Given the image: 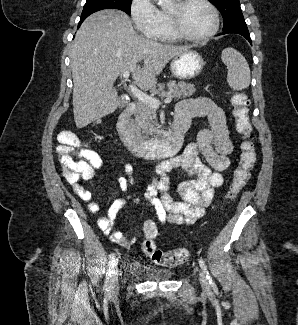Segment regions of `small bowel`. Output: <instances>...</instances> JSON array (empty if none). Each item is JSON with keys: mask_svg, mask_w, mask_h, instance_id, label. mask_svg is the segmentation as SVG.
Returning <instances> with one entry per match:
<instances>
[{"mask_svg": "<svg viewBox=\"0 0 298 325\" xmlns=\"http://www.w3.org/2000/svg\"><path fill=\"white\" fill-rule=\"evenodd\" d=\"M182 103L195 105L200 111L199 115L208 118L210 128L201 130L197 140L190 143L182 153L158 166L159 178L149 185L143 198L155 210L161 225L190 224L204 215L215 190L225 182L223 173L230 166L229 156L233 151L226 116L219 106L206 98L190 99ZM175 168L183 169L190 176V179L177 186L181 201H175L169 194L168 173ZM124 172L125 175L118 179V183L122 191L126 192L135 182L133 166L125 164ZM72 188L81 200L87 202L91 213L100 211V206L92 200L93 195L89 189L79 184L72 185ZM139 202V198L135 199V203ZM124 206V199L115 200L107 214L98 220V226L113 243L130 248L135 239H130L120 231H113L114 221Z\"/></svg>", "mask_w": 298, "mask_h": 325, "instance_id": "c3829d8e", "label": "small bowel"}]
</instances>
